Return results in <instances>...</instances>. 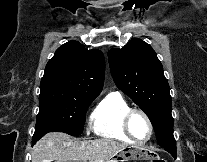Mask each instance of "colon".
<instances>
[{
  "instance_id": "colon-1",
  "label": "colon",
  "mask_w": 207,
  "mask_h": 162,
  "mask_svg": "<svg viewBox=\"0 0 207 162\" xmlns=\"http://www.w3.org/2000/svg\"><path fill=\"white\" fill-rule=\"evenodd\" d=\"M152 162H167V161L158 159V160H153Z\"/></svg>"
}]
</instances>
